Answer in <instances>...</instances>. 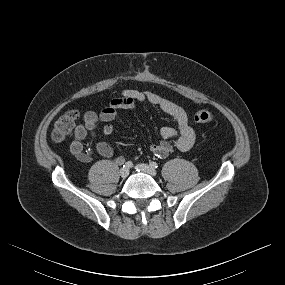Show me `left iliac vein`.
I'll return each mask as SVG.
<instances>
[{
	"label": "left iliac vein",
	"instance_id": "left-iliac-vein-1",
	"mask_svg": "<svg viewBox=\"0 0 285 285\" xmlns=\"http://www.w3.org/2000/svg\"><path fill=\"white\" fill-rule=\"evenodd\" d=\"M136 167L139 171L146 173V174H149L153 177L157 175L156 170L147 164H139Z\"/></svg>",
	"mask_w": 285,
	"mask_h": 285
}]
</instances>
